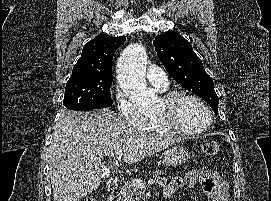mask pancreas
I'll return each instance as SVG.
<instances>
[{"label":"pancreas","instance_id":"obj_1","mask_svg":"<svg viewBox=\"0 0 271 201\" xmlns=\"http://www.w3.org/2000/svg\"><path fill=\"white\" fill-rule=\"evenodd\" d=\"M162 171L156 170L153 172V178L161 187H165L168 180L162 177ZM140 190L132 184V182H125L117 194L115 201H138L140 198Z\"/></svg>","mask_w":271,"mask_h":201}]
</instances>
